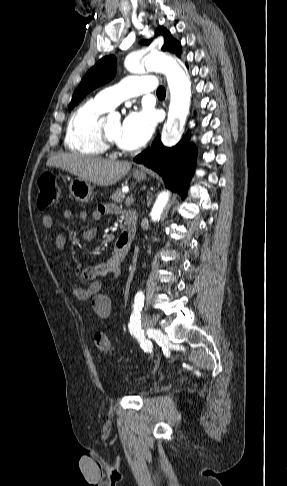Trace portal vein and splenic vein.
Returning <instances> with one entry per match:
<instances>
[{"instance_id":"portal-vein-and-splenic-vein-1","label":"portal vein and splenic vein","mask_w":287,"mask_h":486,"mask_svg":"<svg viewBox=\"0 0 287 486\" xmlns=\"http://www.w3.org/2000/svg\"><path fill=\"white\" fill-rule=\"evenodd\" d=\"M132 203H134V198H133V196H128V197L126 198V204H127V205H130V204H132Z\"/></svg>"}]
</instances>
